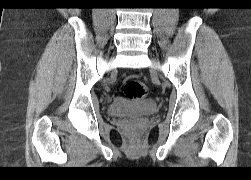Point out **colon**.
I'll return each mask as SVG.
<instances>
[{"instance_id": "obj_1", "label": "colon", "mask_w": 251, "mask_h": 180, "mask_svg": "<svg viewBox=\"0 0 251 180\" xmlns=\"http://www.w3.org/2000/svg\"><path fill=\"white\" fill-rule=\"evenodd\" d=\"M124 93L129 99H142L148 94V87L139 80H129L124 86Z\"/></svg>"}]
</instances>
